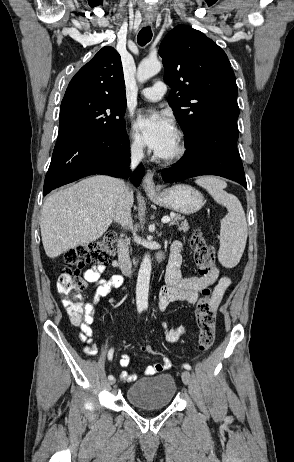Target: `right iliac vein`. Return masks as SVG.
Here are the masks:
<instances>
[{
	"instance_id": "obj_1",
	"label": "right iliac vein",
	"mask_w": 294,
	"mask_h": 462,
	"mask_svg": "<svg viewBox=\"0 0 294 462\" xmlns=\"http://www.w3.org/2000/svg\"><path fill=\"white\" fill-rule=\"evenodd\" d=\"M114 383H115V379H112V380L109 381L110 385H113Z\"/></svg>"
}]
</instances>
